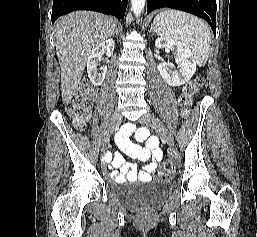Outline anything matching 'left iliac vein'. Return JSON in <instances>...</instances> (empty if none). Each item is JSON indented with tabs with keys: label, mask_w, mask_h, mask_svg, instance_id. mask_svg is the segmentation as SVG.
<instances>
[{
	"label": "left iliac vein",
	"mask_w": 257,
	"mask_h": 237,
	"mask_svg": "<svg viewBox=\"0 0 257 237\" xmlns=\"http://www.w3.org/2000/svg\"><path fill=\"white\" fill-rule=\"evenodd\" d=\"M140 122L146 126H149L157 131L159 136L169 145H174V138L171 135V133L167 130V128L164 126V124L151 114H144L140 118Z\"/></svg>",
	"instance_id": "left-iliac-vein-1"
}]
</instances>
